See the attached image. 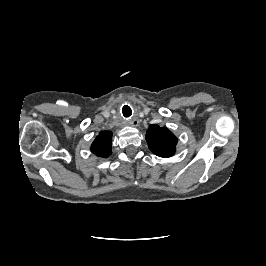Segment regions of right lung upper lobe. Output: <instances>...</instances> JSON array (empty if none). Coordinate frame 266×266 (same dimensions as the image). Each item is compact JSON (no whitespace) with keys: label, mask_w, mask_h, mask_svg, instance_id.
<instances>
[{"label":"right lung upper lobe","mask_w":266,"mask_h":266,"mask_svg":"<svg viewBox=\"0 0 266 266\" xmlns=\"http://www.w3.org/2000/svg\"><path fill=\"white\" fill-rule=\"evenodd\" d=\"M112 132H100L91 145V152L99 157L106 158L111 155Z\"/></svg>","instance_id":"obj_1"}]
</instances>
